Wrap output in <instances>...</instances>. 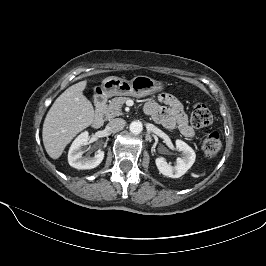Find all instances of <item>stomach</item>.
<instances>
[{
  "instance_id": "0dacf381",
  "label": "stomach",
  "mask_w": 266,
  "mask_h": 266,
  "mask_svg": "<svg viewBox=\"0 0 266 266\" xmlns=\"http://www.w3.org/2000/svg\"><path fill=\"white\" fill-rule=\"evenodd\" d=\"M164 87L165 84L162 81L144 75H138L130 81L110 76L102 81L101 91L106 97L117 95L144 97L160 92Z\"/></svg>"
}]
</instances>
